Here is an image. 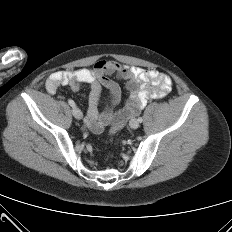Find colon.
Masks as SVG:
<instances>
[{
	"label": "colon",
	"instance_id": "obj_1",
	"mask_svg": "<svg viewBox=\"0 0 232 232\" xmlns=\"http://www.w3.org/2000/svg\"><path fill=\"white\" fill-rule=\"evenodd\" d=\"M126 124H127V117H122L121 122H118L117 124H115L114 126L110 128L109 135L111 137L115 136L117 132L119 131V129H122V127Z\"/></svg>",
	"mask_w": 232,
	"mask_h": 232
}]
</instances>
